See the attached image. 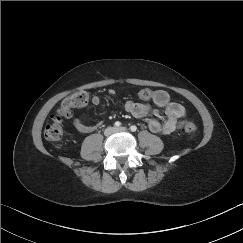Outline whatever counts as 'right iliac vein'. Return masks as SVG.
I'll use <instances>...</instances> for the list:
<instances>
[{"label":"right iliac vein","mask_w":243,"mask_h":243,"mask_svg":"<svg viewBox=\"0 0 243 243\" xmlns=\"http://www.w3.org/2000/svg\"><path fill=\"white\" fill-rule=\"evenodd\" d=\"M114 131H115V128H113V127H108V128L106 129V131H105V134H106V135H110V134H112Z\"/></svg>","instance_id":"obj_1"}]
</instances>
